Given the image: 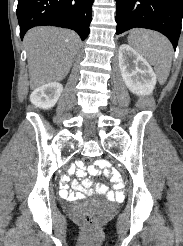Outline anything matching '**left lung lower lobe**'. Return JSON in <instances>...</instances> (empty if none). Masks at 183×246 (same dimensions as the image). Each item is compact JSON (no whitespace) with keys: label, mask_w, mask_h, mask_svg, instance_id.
Returning a JSON list of instances; mask_svg holds the SVG:
<instances>
[{"label":"left lung lower lobe","mask_w":183,"mask_h":246,"mask_svg":"<svg viewBox=\"0 0 183 246\" xmlns=\"http://www.w3.org/2000/svg\"><path fill=\"white\" fill-rule=\"evenodd\" d=\"M116 34L131 28H147L164 34L177 47L183 0H116Z\"/></svg>","instance_id":"0a47b994"}]
</instances>
